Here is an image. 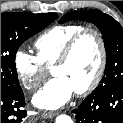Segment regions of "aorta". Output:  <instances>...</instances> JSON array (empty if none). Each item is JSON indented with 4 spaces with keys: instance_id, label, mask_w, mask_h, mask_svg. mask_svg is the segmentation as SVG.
<instances>
[{
    "instance_id": "aorta-1",
    "label": "aorta",
    "mask_w": 123,
    "mask_h": 123,
    "mask_svg": "<svg viewBox=\"0 0 123 123\" xmlns=\"http://www.w3.org/2000/svg\"><path fill=\"white\" fill-rule=\"evenodd\" d=\"M55 123H73L70 116L61 114L55 119Z\"/></svg>"
}]
</instances>
